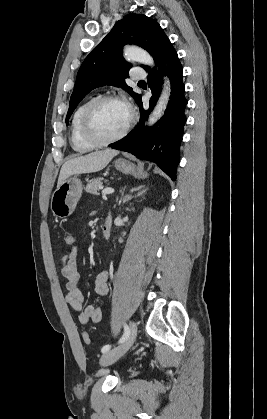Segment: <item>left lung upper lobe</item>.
Instances as JSON below:
<instances>
[{
    "mask_svg": "<svg viewBox=\"0 0 267 419\" xmlns=\"http://www.w3.org/2000/svg\"><path fill=\"white\" fill-rule=\"evenodd\" d=\"M169 39L158 22L142 14H128L116 22L110 33L83 61L70 98L66 123L80 101L94 88L113 85L126 90L138 101L141 95L125 83L131 67L122 56L125 44H136L159 60ZM146 71L149 67L143 66Z\"/></svg>",
    "mask_w": 267,
    "mask_h": 419,
    "instance_id": "obj_1",
    "label": "left lung upper lobe"
}]
</instances>
